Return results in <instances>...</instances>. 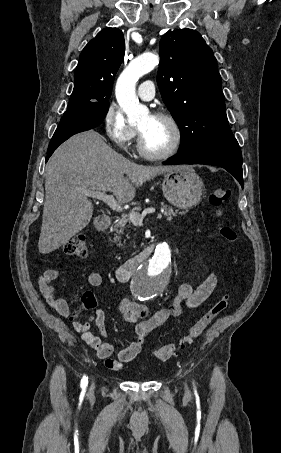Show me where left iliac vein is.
I'll return each mask as SVG.
<instances>
[{
    "label": "left iliac vein",
    "mask_w": 281,
    "mask_h": 453,
    "mask_svg": "<svg viewBox=\"0 0 281 453\" xmlns=\"http://www.w3.org/2000/svg\"><path fill=\"white\" fill-rule=\"evenodd\" d=\"M183 386L185 387V388H184V389L186 390L185 392L188 394V393L190 392V391L188 390L189 388L187 387L188 385L185 383Z\"/></svg>",
    "instance_id": "1"
}]
</instances>
